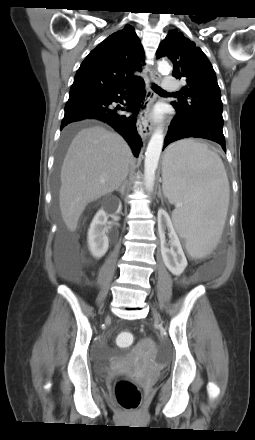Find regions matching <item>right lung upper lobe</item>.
<instances>
[{
    "label": "right lung upper lobe",
    "mask_w": 255,
    "mask_h": 440,
    "mask_svg": "<svg viewBox=\"0 0 255 440\" xmlns=\"http://www.w3.org/2000/svg\"><path fill=\"white\" fill-rule=\"evenodd\" d=\"M144 50L134 28L126 25L101 42L82 62L70 89V96L105 91L130 82L142 71Z\"/></svg>",
    "instance_id": "obj_1"
}]
</instances>
